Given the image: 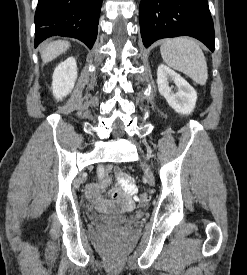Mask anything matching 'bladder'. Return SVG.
<instances>
[{
  "mask_svg": "<svg viewBox=\"0 0 247 275\" xmlns=\"http://www.w3.org/2000/svg\"><path fill=\"white\" fill-rule=\"evenodd\" d=\"M129 216L117 215L112 213L102 214L99 216V220L105 224L120 225L130 221Z\"/></svg>",
  "mask_w": 247,
  "mask_h": 275,
  "instance_id": "1",
  "label": "bladder"
}]
</instances>
